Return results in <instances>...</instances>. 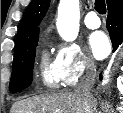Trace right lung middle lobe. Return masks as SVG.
<instances>
[{
  "label": "right lung middle lobe",
  "mask_w": 123,
  "mask_h": 113,
  "mask_svg": "<svg viewBox=\"0 0 123 113\" xmlns=\"http://www.w3.org/2000/svg\"><path fill=\"white\" fill-rule=\"evenodd\" d=\"M38 35L18 46L14 51L13 71L9 90L12 93L27 88L32 82Z\"/></svg>",
  "instance_id": "1"
}]
</instances>
